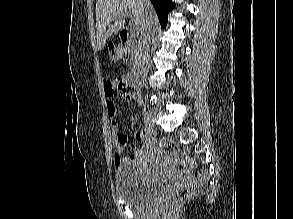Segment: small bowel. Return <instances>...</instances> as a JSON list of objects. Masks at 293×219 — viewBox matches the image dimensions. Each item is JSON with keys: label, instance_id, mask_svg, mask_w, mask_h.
Instances as JSON below:
<instances>
[{"label": "small bowel", "instance_id": "obj_1", "mask_svg": "<svg viewBox=\"0 0 293 219\" xmlns=\"http://www.w3.org/2000/svg\"><path fill=\"white\" fill-rule=\"evenodd\" d=\"M104 93L107 98V111L111 119V125L113 128L114 134V148L117 152L115 157V165L117 167L132 164L139 160V158L146 152L149 147V141L145 134L142 131H137L134 134V139L137 142H143L144 145L134 153L129 155H121L122 152L130 146V137L124 133H118L119 123L116 118V108L115 104L112 100V96L114 94V86L113 83L110 81H106L104 84ZM129 100L134 101L137 103L138 106H142L143 100L142 97L136 92L129 93Z\"/></svg>", "mask_w": 293, "mask_h": 219}]
</instances>
